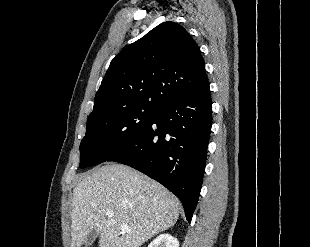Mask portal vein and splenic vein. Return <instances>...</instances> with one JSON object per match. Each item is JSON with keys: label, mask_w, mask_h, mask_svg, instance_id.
I'll return each mask as SVG.
<instances>
[{"label": "portal vein and splenic vein", "mask_w": 310, "mask_h": 247, "mask_svg": "<svg viewBox=\"0 0 310 247\" xmlns=\"http://www.w3.org/2000/svg\"><path fill=\"white\" fill-rule=\"evenodd\" d=\"M106 215L108 217H113L114 216V212L112 210H107ZM121 229L124 231L129 232V227L127 226V224H121Z\"/></svg>", "instance_id": "18ae733b"}]
</instances>
